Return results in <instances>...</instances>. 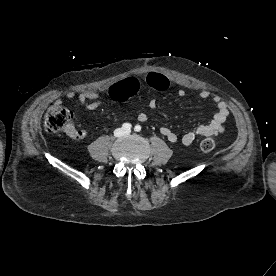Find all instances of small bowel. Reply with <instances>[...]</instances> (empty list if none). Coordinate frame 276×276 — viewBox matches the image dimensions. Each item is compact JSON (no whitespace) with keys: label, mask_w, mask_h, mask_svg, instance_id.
I'll return each mask as SVG.
<instances>
[{"label":"small bowel","mask_w":276,"mask_h":276,"mask_svg":"<svg viewBox=\"0 0 276 276\" xmlns=\"http://www.w3.org/2000/svg\"><path fill=\"white\" fill-rule=\"evenodd\" d=\"M148 84L153 89L163 91L168 88V79L159 74L151 73L148 76ZM140 91V82L136 78H128L125 81L118 83L112 86L109 89V94L114 99L128 98L136 95ZM177 94L179 96H184V89H178ZM75 97L74 93H67L65 99H72ZM200 97L205 100L211 101L215 108L216 112L213 115L212 119L207 124H202L196 127L194 130L184 133L181 137L178 136L168 126H161L159 128L160 133L170 142L176 143L179 140L184 145H191L197 137L202 136H217L224 131V125L229 118V110L227 103L218 95L208 91L202 90L200 92ZM76 100L79 104L83 105L88 110H95L99 108L102 104V99L98 92L94 90L84 91L76 96ZM57 104L62 103V99L56 100ZM155 101L152 99L149 102L150 108H155ZM140 122H145L148 119V116L144 112H140L137 116ZM71 137L75 139H84L87 136L85 130H73L70 132Z\"/></svg>","instance_id":"c3829d8e"}]
</instances>
